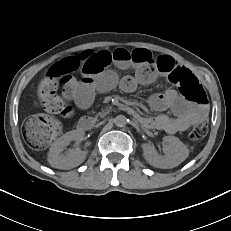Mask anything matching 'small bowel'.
I'll return each instance as SVG.
<instances>
[{
	"label": "small bowel",
	"mask_w": 231,
	"mask_h": 231,
	"mask_svg": "<svg viewBox=\"0 0 231 231\" xmlns=\"http://www.w3.org/2000/svg\"><path fill=\"white\" fill-rule=\"evenodd\" d=\"M134 51L137 54L133 57ZM59 62L69 72L79 70L82 74L80 80L70 76L67 84L70 95L81 108L88 107L97 92H107L116 86L126 92H132L138 85L150 84L160 75L169 78L177 70L191 72L169 56L153 58L146 49L129 51L118 48L112 51H85L66 57ZM111 65L120 70L134 69V74L120 77L116 71L109 68ZM149 103L155 110L171 111L173 116L160 114L153 118H140L141 123L146 127L170 134L185 131L189 127L205 121L209 111L205 102L188 99L173 89L153 95Z\"/></svg>",
	"instance_id": "c3829d8e"
}]
</instances>
